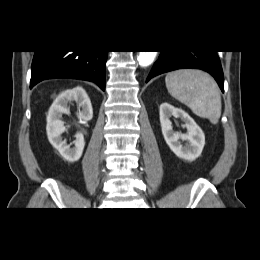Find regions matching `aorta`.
I'll return each instance as SVG.
<instances>
[{
    "mask_svg": "<svg viewBox=\"0 0 260 260\" xmlns=\"http://www.w3.org/2000/svg\"><path fill=\"white\" fill-rule=\"evenodd\" d=\"M157 51H140L138 56L139 65L147 67L151 65L156 57Z\"/></svg>",
    "mask_w": 260,
    "mask_h": 260,
    "instance_id": "762f6f07",
    "label": "aorta"
}]
</instances>
